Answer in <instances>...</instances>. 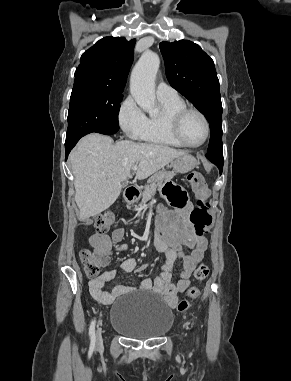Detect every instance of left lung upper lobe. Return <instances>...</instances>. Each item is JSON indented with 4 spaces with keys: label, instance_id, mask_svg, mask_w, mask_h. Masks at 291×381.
Listing matches in <instances>:
<instances>
[{
    "label": "left lung upper lobe",
    "instance_id": "1",
    "mask_svg": "<svg viewBox=\"0 0 291 381\" xmlns=\"http://www.w3.org/2000/svg\"><path fill=\"white\" fill-rule=\"evenodd\" d=\"M160 50L171 86L207 118L211 136L207 154H223L222 104L213 60L188 40L161 42Z\"/></svg>",
    "mask_w": 291,
    "mask_h": 381
}]
</instances>
